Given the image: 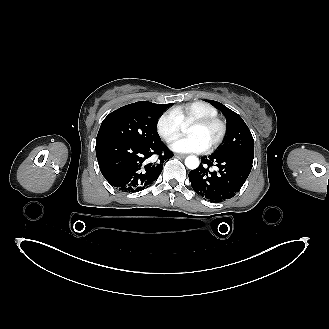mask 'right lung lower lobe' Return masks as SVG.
Instances as JSON below:
<instances>
[{"label":"right lung lower lobe","instance_id":"right-lung-lower-lobe-1","mask_svg":"<svg viewBox=\"0 0 329 329\" xmlns=\"http://www.w3.org/2000/svg\"><path fill=\"white\" fill-rule=\"evenodd\" d=\"M96 156L100 171L117 190L133 193L148 188L158 179L163 162L173 156L160 140L154 143H137L113 138L96 140ZM153 154L158 160L147 163Z\"/></svg>","mask_w":329,"mask_h":329}]
</instances>
